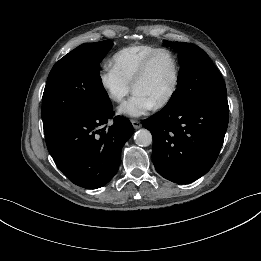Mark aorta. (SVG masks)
I'll return each instance as SVG.
<instances>
[{
	"label": "aorta",
	"instance_id": "aorta-1",
	"mask_svg": "<svg viewBox=\"0 0 261 261\" xmlns=\"http://www.w3.org/2000/svg\"><path fill=\"white\" fill-rule=\"evenodd\" d=\"M135 143L141 147H147L152 143V134L147 129H140L134 135Z\"/></svg>",
	"mask_w": 261,
	"mask_h": 261
}]
</instances>
